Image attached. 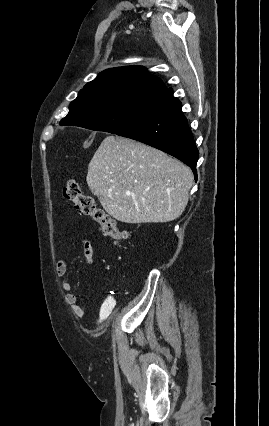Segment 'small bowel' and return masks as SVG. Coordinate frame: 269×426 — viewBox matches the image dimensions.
I'll return each mask as SVG.
<instances>
[{
    "label": "small bowel",
    "instance_id": "obj_1",
    "mask_svg": "<svg viewBox=\"0 0 269 426\" xmlns=\"http://www.w3.org/2000/svg\"><path fill=\"white\" fill-rule=\"evenodd\" d=\"M83 249L86 263L91 265L95 262L97 252L95 246L91 240H83ZM67 271V264L65 260H59L56 264V274L59 278H62L60 282L61 289L66 293L65 301L71 307L73 313L76 316H83L85 314V308L79 304L77 296L71 292V283L69 280L63 278Z\"/></svg>",
    "mask_w": 269,
    "mask_h": 426
}]
</instances>
